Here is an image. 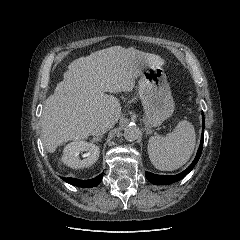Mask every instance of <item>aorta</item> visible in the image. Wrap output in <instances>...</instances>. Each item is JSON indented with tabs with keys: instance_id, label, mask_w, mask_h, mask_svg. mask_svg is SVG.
<instances>
[{
	"instance_id": "aorta-1",
	"label": "aorta",
	"mask_w": 240,
	"mask_h": 240,
	"mask_svg": "<svg viewBox=\"0 0 240 240\" xmlns=\"http://www.w3.org/2000/svg\"><path fill=\"white\" fill-rule=\"evenodd\" d=\"M139 135H140V131L138 126L136 125H128L124 129V138L127 141H135L136 139H138Z\"/></svg>"
}]
</instances>
